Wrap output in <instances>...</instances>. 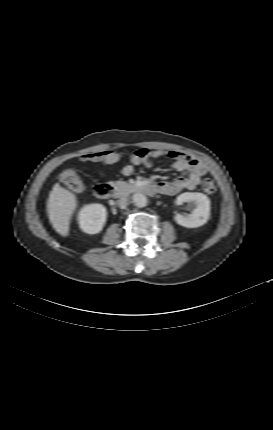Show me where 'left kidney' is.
I'll list each match as a JSON object with an SVG mask.
<instances>
[{
  "instance_id": "5707ae66",
  "label": "left kidney",
  "mask_w": 273,
  "mask_h": 430,
  "mask_svg": "<svg viewBox=\"0 0 273 430\" xmlns=\"http://www.w3.org/2000/svg\"><path fill=\"white\" fill-rule=\"evenodd\" d=\"M185 202L193 203L195 208L189 216L176 214L174 217L176 223L186 228H197L204 225L210 217V199L203 193L185 192L175 200L176 205H182Z\"/></svg>"
}]
</instances>
